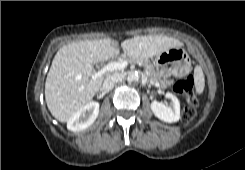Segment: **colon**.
Masks as SVG:
<instances>
[{
	"label": "colon",
	"mask_w": 245,
	"mask_h": 170,
	"mask_svg": "<svg viewBox=\"0 0 245 170\" xmlns=\"http://www.w3.org/2000/svg\"><path fill=\"white\" fill-rule=\"evenodd\" d=\"M190 66L189 62H185V69H188ZM174 90L177 94L183 95L186 98L184 107H183V120L185 122H190L196 112V107L198 105V99L194 92V83L190 76L187 74L179 77L175 84Z\"/></svg>",
	"instance_id": "colon-1"
}]
</instances>
